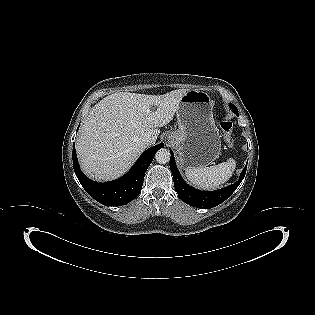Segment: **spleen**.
<instances>
[{"label":"spleen","mask_w":315,"mask_h":315,"mask_svg":"<svg viewBox=\"0 0 315 315\" xmlns=\"http://www.w3.org/2000/svg\"><path fill=\"white\" fill-rule=\"evenodd\" d=\"M235 166V160L230 158L215 166L187 168L185 175L193 185L201 189H216L230 179Z\"/></svg>","instance_id":"3e777b00"}]
</instances>
